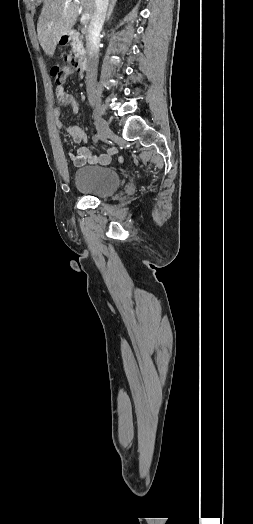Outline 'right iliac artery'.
I'll return each instance as SVG.
<instances>
[{"label": "right iliac artery", "instance_id": "82829eb1", "mask_svg": "<svg viewBox=\"0 0 253 524\" xmlns=\"http://www.w3.org/2000/svg\"><path fill=\"white\" fill-rule=\"evenodd\" d=\"M99 139H100V135H99V133H97V134H95L94 137H93V142H94V143H97V142L99 141Z\"/></svg>", "mask_w": 253, "mask_h": 524}]
</instances>
